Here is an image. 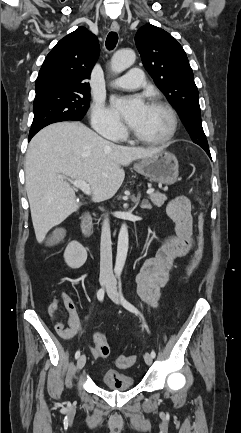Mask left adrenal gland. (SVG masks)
I'll return each instance as SVG.
<instances>
[{
    "label": "left adrenal gland",
    "mask_w": 241,
    "mask_h": 433,
    "mask_svg": "<svg viewBox=\"0 0 241 433\" xmlns=\"http://www.w3.org/2000/svg\"><path fill=\"white\" fill-rule=\"evenodd\" d=\"M139 200H140V195H138V197H137V202H139ZM141 208H143V209H151L152 207H151V205L148 203L147 200H143V201H142V204H141Z\"/></svg>",
    "instance_id": "obj_1"
}]
</instances>
